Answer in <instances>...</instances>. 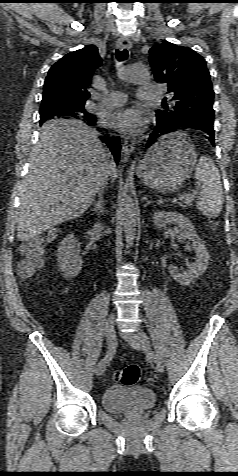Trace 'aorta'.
I'll list each match as a JSON object with an SVG mask.
<instances>
[{
    "instance_id": "obj_1",
    "label": "aorta",
    "mask_w": 238,
    "mask_h": 476,
    "mask_svg": "<svg viewBox=\"0 0 238 476\" xmlns=\"http://www.w3.org/2000/svg\"><path fill=\"white\" fill-rule=\"evenodd\" d=\"M121 78L135 84H148L150 82L149 72L139 65L126 66L121 72ZM121 216L125 240L128 245H132L136 237L137 208L130 192H126L122 198Z\"/></svg>"
}]
</instances>
